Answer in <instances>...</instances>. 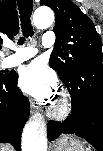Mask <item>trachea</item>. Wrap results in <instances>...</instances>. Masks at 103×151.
Returning a JSON list of instances; mask_svg holds the SVG:
<instances>
[{"instance_id":"trachea-1","label":"trachea","mask_w":103,"mask_h":151,"mask_svg":"<svg viewBox=\"0 0 103 151\" xmlns=\"http://www.w3.org/2000/svg\"><path fill=\"white\" fill-rule=\"evenodd\" d=\"M17 5L20 12V21L23 35L25 37L32 36L34 32L30 17L33 10V0H17ZM24 40L25 38H20L18 44L21 45Z\"/></svg>"}]
</instances>
